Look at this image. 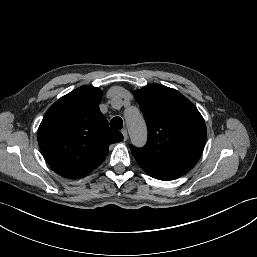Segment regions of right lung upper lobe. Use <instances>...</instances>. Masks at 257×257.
Segmentation results:
<instances>
[{
	"label": "right lung upper lobe",
	"mask_w": 257,
	"mask_h": 257,
	"mask_svg": "<svg viewBox=\"0 0 257 257\" xmlns=\"http://www.w3.org/2000/svg\"><path fill=\"white\" fill-rule=\"evenodd\" d=\"M102 91L81 86L57 100L38 129V144L51 168L68 178L83 177L108 155L123 135L109 127L99 110Z\"/></svg>",
	"instance_id": "cb5924a9"
}]
</instances>
